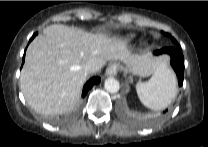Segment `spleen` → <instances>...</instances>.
I'll return each instance as SVG.
<instances>
[{"instance_id": "spleen-1", "label": "spleen", "mask_w": 208, "mask_h": 147, "mask_svg": "<svg viewBox=\"0 0 208 147\" xmlns=\"http://www.w3.org/2000/svg\"><path fill=\"white\" fill-rule=\"evenodd\" d=\"M136 91L144 106L152 110L164 109L177 95L176 76L164 64L148 81L138 82Z\"/></svg>"}]
</instances>
